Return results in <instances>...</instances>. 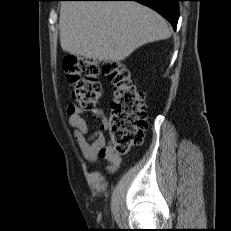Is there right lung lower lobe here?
I'll list each match as a JSON object with an SVG mask.
<instances>
[{"instance_id":"1","label":"right lung lower lobe","mask_w":231,"mask_h":231,"mask_svg":"<svg viewBox=\"0 0 231 231\" xmlns=\"http://www.w3.org/2000/svg\"><path fill=\"white\" fill-rule=\"evenodd\" d=\"M83 1H137L144 4L165 17L176 29L179 11L177 1L179 0H83Z\"/></svg>"}]
</instances>
